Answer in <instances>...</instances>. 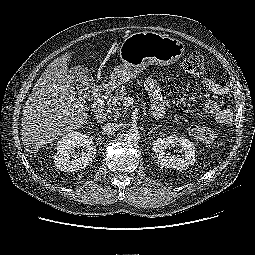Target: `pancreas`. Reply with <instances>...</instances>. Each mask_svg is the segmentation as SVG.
<instances>
[{
	"instance_id": "obj_1",
	"label": "pancreas",
	"mask_w": 255,
	"mask_h": 255,
	"mask_svg": "<svg viewBox=\"0 0 255 255\" xmlns=\"http://www.w3.org/2000/svg\"><path fill=\"white\" fill-rule=\"evenodd\" d=\"M131 91L127 90L125 86L120 89H116L107 100V112L110 114L114 113L115 118H120L125 114V110L121 107V101L128 95Z\"/></svg>"
}]
</instances>
